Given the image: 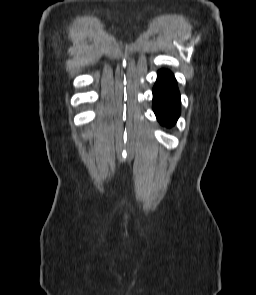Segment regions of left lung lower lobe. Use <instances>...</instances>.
Masks as SVG:
<instances>
[{
  "instance_id": "0a47b994",
  "label": "left lung lower lobe",
  "mask_w": 256,
  "mask_h": 295,
  "mask_svg": "<svg viewBox=\"0 0 256 295\" xmlns=\"http://www.w3.org/2000/svg\"><path fill=\"white\" fill-rule=\"evenodd\" d=\"M180 94L173 74L166 69L158 71L153 88V110L161 125L173 126L180 115Z\"/></svg>"
}]
</instances>
